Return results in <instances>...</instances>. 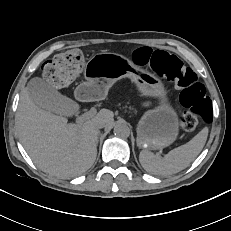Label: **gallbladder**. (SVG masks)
<instances>
[{
    "mask_svg": "<svg viewBox=\"0 0 231 231\" xmlns=\"http://www.w3.org/2000/svg\"><path fill=\"white\" fill-rule=\"evenodd\" d=\"M27 91L33 103L43 110L65 111L70 101L48 85L41 78H33L27 85Z\"/></svg>",
    "mask_w": 231,
    "mask_h": 231,
    "instance_id": "bac80fb5",
    "label": "gallbladder"
}]
</instances>
